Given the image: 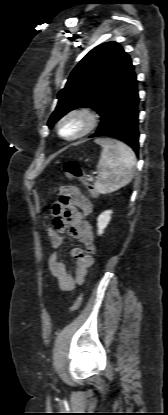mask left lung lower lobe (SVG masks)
Here are the masks:
<instances>
[{
	"label": "left lung lower lobe",
	"mask_w": 168,
	"mask_h": 415,
	"mask_svg": "<svg viewBox=\"0 0 168 415\" xmlns=\"http://www.w3.org/2000/svg\"><path fill=\"white\" fill-rule=\"evenodd\" d=\"M139 100L137 78L134 75L105 107L98 130L90 137H115L128 144L138 154Z\"/></svg>",
	"instance_id": "0a47b994"
}]
</instances>
